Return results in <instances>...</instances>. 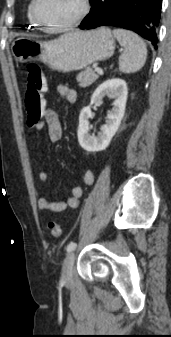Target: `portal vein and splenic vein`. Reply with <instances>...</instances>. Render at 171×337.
I'll list each match as a JSON object with an SVG mask.
<instances>
[{"label": "portal vein and splenic vein", "mask_w": 171, "mask_h": 337, "mask_svg": "<svg viewBox=\"0 0 171 337\" xmlns=\"http://www.w3.org/2000/svg\"><path fill=\"white\" fill-rule=\"evenodd\" d=\"M95 71L100 74V75H103V70L100 68V67H96L95 68Z\"/></svg>", "instance_id": "portal-vein-and-splenic-vein-1"}]
</instances>
